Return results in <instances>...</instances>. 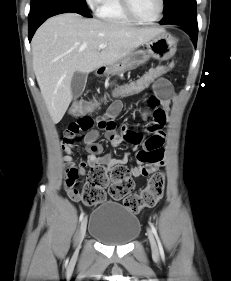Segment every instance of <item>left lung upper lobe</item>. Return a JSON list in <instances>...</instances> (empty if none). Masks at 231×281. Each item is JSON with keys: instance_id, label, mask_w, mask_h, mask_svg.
<instances>
[{"instance_id": "1", "label": "left lung upper lobe", "mask_w": 231, "mask_h": 281, "mask_svg": "<svg viewBox=\"0 0 231 281\" xmlns=\"http://www.w3.org/2000/svg\"><path fill=\"white\" fill-rule=\"evenodd\" d=\"M164 1V15L172 11L178 6L189 4V3H196V0H163Z\"/></svg>"}]
</instances>
